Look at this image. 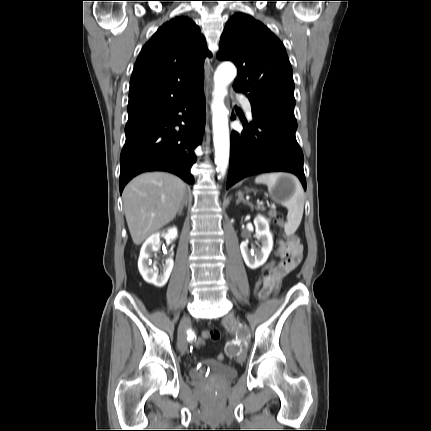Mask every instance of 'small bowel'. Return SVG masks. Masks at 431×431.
Wrapping results in <instances>:
<instances>
[{
    "mask_svg": "<svg viewBox=\"0 0 431 431\" xmlns=\"http://www.w3.org/2000/svg\"><path fill=\"white\" fill-rule=\"evenodd\" d=\"M301 243L302 238L300 236H295L289 242L280 241L278 243L276 256L281 258V262L272 266V268H266V272H262V289L255 290L256 294L259 295V299H265L275 293L279 289L282 278L300 264L303 256Z\"/></svg>",
    "mask_w": 431,
    "mask_h": 431,
    "instance_id": "small-bowel-1",
    "label": "small bowel"
}]
</instances>
